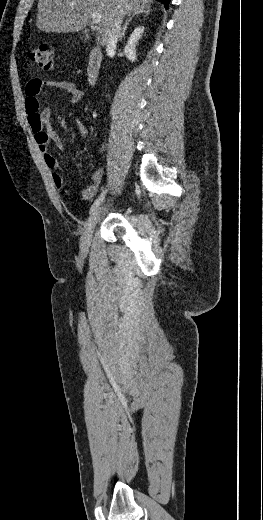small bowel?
Masks as SVG:
<instances>
[{"instance_id": "1", "label": "small bowel", "mask_w": 263, "mask_h": 520, "mask_svg": "<svg viewBox=\"0 0 263 520\" xmlns=\"http://www.w3.org/2000/svg\"><path fill=\"white\" fill-rule=\"evenodd\" d=\"M43 88H55L66 91L73 103H78L84 96L82 90L73 82L66 80H48L41 78H33L28 81L25 87V108L28 115V122L34 135L35 142L41 152L44 162L52 171V181L54 186L65 191L68 182L57 171L58 161L49 153L48 145L52 141L59 150H64V142L62 138L53 130L50 122L51 110L49 108H40L39 95ZM78 129L83 138L88 139V130L80 122L77 121ZM103 176L101 168L96 169L90 178L89 185L82 191L81 199L91 200L98 192L99 185Z\"/></svg>"}]
</instances>
